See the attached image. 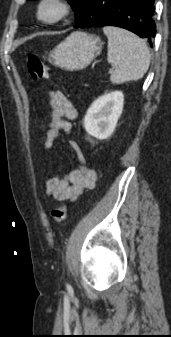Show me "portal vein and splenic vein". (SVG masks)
Segmentation results:
<instances>
[{
    "instance_id": "obj_1",
    "label": "portal vein and splenic vein",
    "mask_w": 171,
    "mask_h": 337,
    "mask_svg": "<svg viewBox=\"0 0 171 337\" xmlns=\"http://www.w3.org/2000/svg\"><path fill=\"white\" fill-rule=\"evenodd\" d=\"M109 73H110V74L113 73V69H110V70H109Z\"/></svg>"
}]
</instances>
